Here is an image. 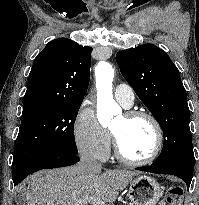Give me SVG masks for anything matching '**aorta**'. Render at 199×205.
Segmentation results:
<instances>
[{"instance_id":"aorta-1","label":"aorta","mask_w":199,"mask_h":205,"mask_svg":"<svg viewBox=\"0 0 199 205\" xmlns=\"http://www.w3.org/2000/svg\"><path fill=\"white\" fill-rule=\"evenodd\" d=\"M97 88V118L102 126L108 125L111 116L121 112V108L114 101L112 81L114 69L108 62H100L95 70Z\"/></svg>"}]
</instances>
